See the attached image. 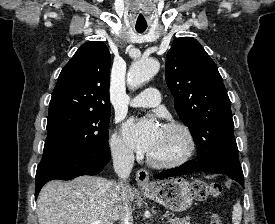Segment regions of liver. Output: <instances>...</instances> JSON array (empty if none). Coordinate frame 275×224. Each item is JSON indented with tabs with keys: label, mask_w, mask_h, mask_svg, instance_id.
<instances>
[{
	"label": "liver",
	"mask_w": 275,
	"mask_h": 224,
	"mask_svg": "<svg viewBox=\"0 0 275 224\" xmlns=\"http://www.w3.org/2000/svg\"><path fill=\"white\" fill-rule=\"evenodd\" d=\"M116 185L101 177L80 176L69 182H48L40 191L36 213L39 224H114L119 219ZM129 202L134 191L129 186Z\"/></svg>",
	"instance_id": "obj_1"
}]
</instances>
